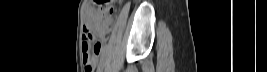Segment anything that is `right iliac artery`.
<instances>
[{"instance_id": "1", "label": "right iliac artery", "mask_w": 267, "mask_h": 72, "mask_svg": "<svg viewBox=\"0 0 267 72\" xmlns=\"http://www.w3.org/2000/svg\"><path fill=\"white\" fill-rule=\"evenodd\" d=\"M102 69H103V65H102V63H100V64L98 65L97 72H101Z\"/></svg>"}]
</instances>
